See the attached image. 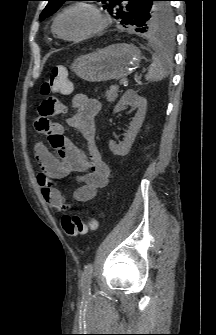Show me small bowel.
Listing matches in <instances>:
<instances>
[{"mask_svg":"<svg viewBox=\"0 0 216 335\" xmlns=\"http://www.w3.org/2000/svg\"><path fill=\"white\" fill-rule=\"evenodd\" d=\"M67 126L80 132L87 150H82L66 134L60 124L51 123L49 115H68ZM70 104L61 98L47 94L40 104V117L33 123L36 135H46L47 142H36L34 156L39 166L37 182L41 193L50 207L64 210L68 207L65 196L54 184L55 180L78 174V187L72 194L75 202H87L95 198L99 189L108 184L110 170L101 157L96 143L95 117L101 110V103L85 94H75Z\"/></svg>","mask_w":216,"mask_h":335,"instance_id":"obj_1","label":"small bowel"}]
</instances>
